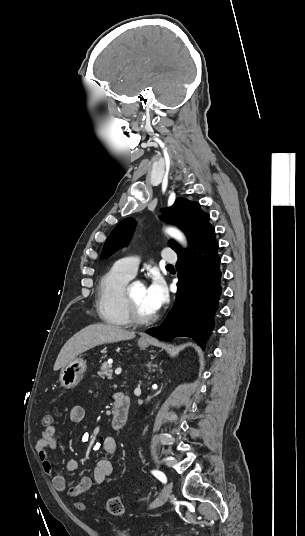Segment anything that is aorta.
I'll list each match as a JSON object with an SVG mask.
<instances>
[{"mask_svg": "<svg viewBox=\"0 0 305 536\" xmlns=\"http://www.w3.org/2000/svg\"><path fill=\"white\" fill-rule=\"evenodd\" d=\"M165 231L167 234H169L172 238L176 239L183 246H186V243H187L186 238L180 230L173 228V227H167Z\"/></svg>", "mask_w": 305, "mask_h": 536, "instance_id": "1", "label": "aorta"}]
</instances>
